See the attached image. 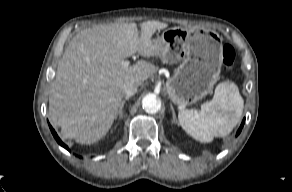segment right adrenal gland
<instances>
[{"mask_svg": "<svg viewBox=\"0 0 292 192\" xmlns=\"http://www.w3.org/2000/svg\"><path fill=\"white\" fill-rule=\"evenodd\" d=\"M129 98H125L122 103H121V106L118 110V113L116 115V118L115 119H119V120H122L123 119V116H124V111H123V108H124V105L126 103V101L128 100Z\"/></svg>", "mask_w": 292, "mask_h": 192, "instance_id": "2a0ac1e0", "label": "right adrenal gland"}]
</instances>
